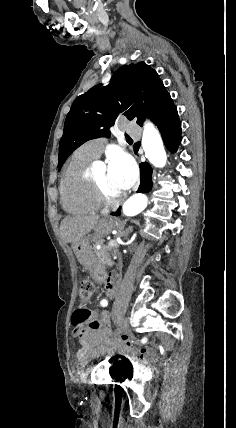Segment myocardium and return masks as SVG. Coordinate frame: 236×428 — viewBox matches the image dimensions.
<instances>
[{
  "mask_svg": "<svg viewBox=\"0 0 236 428\" xmlns=\"http://www.w3.org/2000/svg\"><path fill=\"white\" fill-rule=\"evenodd\" d=\"M92 187L97 201L101 205L111 206L117 205L124 201L126 194L122 193L121 195L114 197L111 196L101 182H99L94 176L91 177Z\"/></svg>",
  "mask_w": 236,
  "mask_h": 428,
  "instance_id": "obj_1",
  "label": "myocardium"
}]
</instances>
